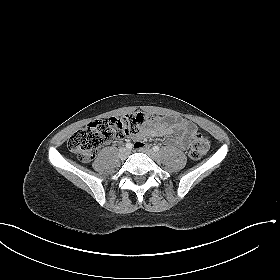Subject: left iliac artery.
I'll list each match as a JSON object with an SVG mask.
<instances>
[{
	"label": "left iliac artery",
	"instance_id": "44dca946",
	"mask_svg": "<svg viewBox=\"0 0 280 280\" xmlns=\"http://www.w3.org/2000/svg\"><path fill=\"white\" fill-rule=\"evenodd\" d=\"M153 150H154L155 152H158V151L160 150V148H159V146H154V147H153Z\"/></svg>",
	"mask_w": 280,
	"mask_h": 280
}]
</instances>
